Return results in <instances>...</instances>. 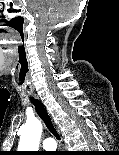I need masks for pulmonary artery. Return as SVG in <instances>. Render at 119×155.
I'll return each instance as SVG.
<instances>
[{"instance_id":"e3ab8cb5","label":"pulmonary artery","mask_w":119,"mask_h":155,"mask_svg":"<svg viewBox=\"0 0 119 155\" xmlns=\"http://www.w3.org/2000/svg\"><path fill=\"white\" fill-rule=\"evenodd\" d=\"M42 146L45 150L51 151L56 149V142L53 138H46L42 141Z\"/></svg>"}]
</instances>
